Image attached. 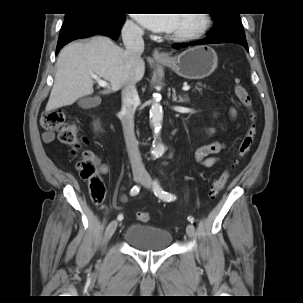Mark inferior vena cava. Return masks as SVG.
<instances>
[{
	"mask_svg": "<svg viewBox=\"0 0 303 303\" xmlns=\"http://www.w3.org/2000/svg\"><path fill=\"white\" fill-rule=\"evenodd\" d=\"M144 31L133 22H126L122 28V40L125 45V67L127 70L134 69L141 60L144 51V41L142 38ZM122 119L124 138L134 175L145 174L138 141L134 133V113L139 104V96L136 83L132 77L126 76L122 88Z\"/></svg>",
	"mask_w": 303,
	"mask_h": 303,
	"instance_id": "obj_1",
	"label": "inferior vena cava"
}]
</instances>
